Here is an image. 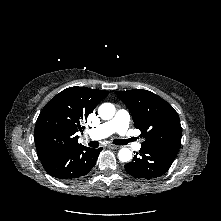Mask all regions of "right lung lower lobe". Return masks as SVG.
<instances>
[{
	"mask_svg": "<svg viewBox=\"0 0 221 221\" xmlns=\"http://www.w3.org/2000/svg\"><path fill=\"white\" fill-rule=\"evenodd\" d=\"M101 150L102 148L92 149L78 144L42 150L38 152V157L51 176L75 180L93 168Z\"/></svg>",
	"mask_w": 221,
	"mask_h": 221,
	"instance_id": "right-lung-lower-lobe-1",
	"label": "right lung lower lobe"
}]
</instances>
